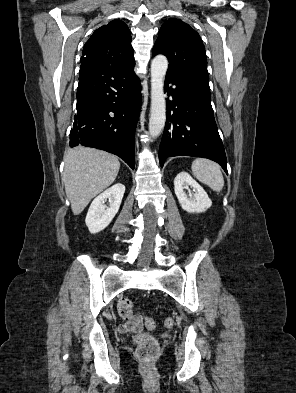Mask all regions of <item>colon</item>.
Wrapping results in <instances>:
<instances>
[{
  "instance_id": "5ec220e1",
  "label": "colon",
  "mask_w": 296,
  "mask_h": 393,
  "mask_svg": "<svg viewBox=\"0 0 296 393\" xmlns=\"http://www.w3.org/2000/svg\"><path fill=\"white\" fill-rule=\"evenodd\" d=\"M119 313L122 317L128 319L132 316V302L129 299H122L118 304ZM145 326L152 330L156 324L153 318H145ZM166 327H172L174 324L173 319L167 318L164 322ZM135 344L137 346L138 357L148 365L158 354V343L148 334L142 333L135 337Z\"/></svg>"
}]
</instances>
